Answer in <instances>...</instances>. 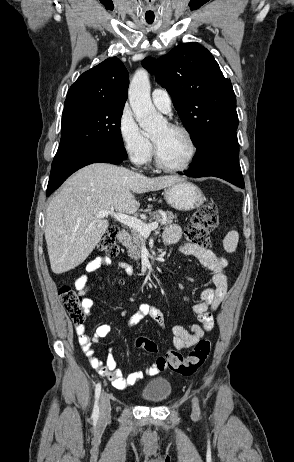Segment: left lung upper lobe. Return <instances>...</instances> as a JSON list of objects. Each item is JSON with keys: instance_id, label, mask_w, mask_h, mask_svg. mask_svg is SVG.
<instances>
[{"instance_id": "left-lung-upper-lobe-1", "label": "left lung upper lobe", "mask_w": 294, "mask_h": 462, "mask_svg": "<svg viewBox=\"0 0 294 462\" xmlns=\"http://www.w3.org/2000/svg\"><path fill=\"white\" fill-rule=\"evenodd\" d=\"M142 65L173 97V105L196 148L238 127L236 97L213 55L200 44L176 46Z\"/></svg>"}]
</instances>
